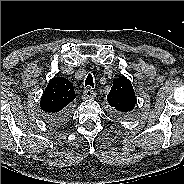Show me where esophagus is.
Wrapping results in <instances>:
<instances>
[{
	"label": "esophagus",
	"instance_id": "1",
	"mask_svg": "<svg viewBox=\"0 0 184 184\" xmlns=\"http://www.w3.org/2000/svg\"><path fill=\"white\" fill-rule=\"evenodd\" d=\"M96 97V92L94 90H92L91 88H87L84 90L82 98L84 100L86 99H93Z\"/></svg>",
	"mask_w": 184,
	"mask_h": 184
}]
</instances>
